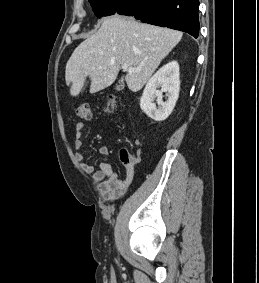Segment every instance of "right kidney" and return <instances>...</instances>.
Listing matches in <instances>:
<instances>
[{
	"mask_svg": "<svg viewBox=\"0 0 259 283\" xmlns=\"http://www.w3.org/2000/svg\"><path fill=\"white\" fill-rule=\"evenodd\" d=\"M161 87V90H158ZM180 80L179 64L171 61L161 67L147 82L143 95L140 99L142 111L155 121L165 120L175 107L179 97ZM163 92L168 96L167 101L163 102ZM158 104V108L154 103Z\"/></svg>",
	"mask_w": 259,
	"mask_h": 283,
	"instance_id": "1",
	"label": "right kidney"
}]
</instances>
